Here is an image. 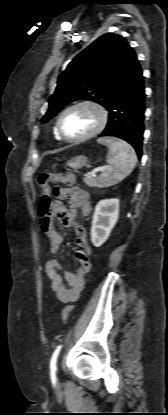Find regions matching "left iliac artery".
Wrapping results in <instances>:
<instances>
[{"label":"left iliac artery","mask_w":168,"mask_h":415,"mask_svg":"<svg viewBox=\"0 0 168 415\" xmlns=\"http://www.w3.org/2000/svg\"><path fill=\"white\" fill-rule=\"evenodd\" d=\"M61 347H62V345H59L56 348V350L54 351V353L52 355L51 361H50V370H51V373H52L53 376H55V373H56V370H57L56 362H57V357H58V354L61 350Z\"/></svg>","instance_id":"44dca946"}]
</instances>
